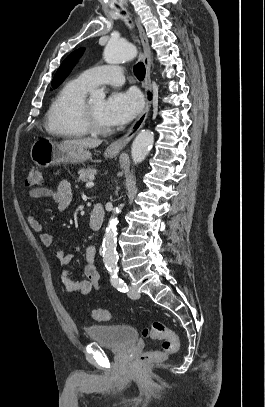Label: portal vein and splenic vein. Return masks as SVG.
<instances>
[{
	"mask_svg": "<svg viewBox=\"0 0 265 407\" xmlns=\"http://www.w3.org/2000/svg\"><path fill=\"white\" fill-rule=\"evenodd\" d=\"M93 186H94V183L92 181L86 183V187H93Z\"/></svg>",
	"mask_w": 265,
	"mask_h": 407,
	"instance_id": "18ae733b",
	"label": "portal vein and splenic vein"
}]
</instances>
